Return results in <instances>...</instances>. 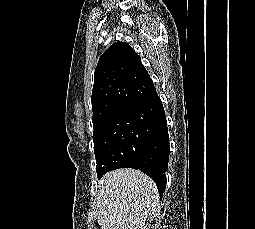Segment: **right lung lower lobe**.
Listing matches in <instances>:
<instances>
[{
  "label": "right lung lower lobe",
  "instance_id": "right-lung-lower-lobe-1",
  "mask_svg": "<svg viewBox=\"0 0 255 229\" xmlns=\"http://www.w3.org/2000/svg\"><path fill=\"white\" fill-rule=\"evenodd\" d=\"M125 111L144 121L152 131L138 163L127 168L139 169L151 177L162 198L166 188L165 172L170 153L167 121L162 102L156 93L145 101L130 106Z\"/></svg>",
  "mask_w": 255,
  "mask_h": 229
}]
</instances>
